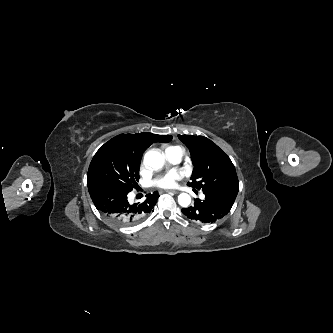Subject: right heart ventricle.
<instances>
[{"mask_svg":"<svg viewBox=\"0 0 333 333\" xmlns=\"http://www.w3.org/2000/svg\"><path fill=\"white\" fill-rule=\"evenodd\" d=\"M177 146H171V147H168L166 150L168 149H172V148H176Z\"/></svg>","mask_w":333,"mask_h":333,"instance_id":"obj_1","label":"right heart ventricle"}]
</instances>
